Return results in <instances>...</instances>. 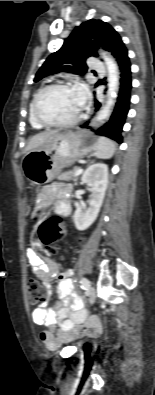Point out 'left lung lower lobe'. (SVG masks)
<instances>
[{
  "label": "left lung lower lobe",
  "mask_w": 155,
  "mask_h": 395,
  "mask_svg": "<svg viewBox=\"0 0 155 395\" xmlns=\"http://www.w3.org/2000/svg\"><path fill=\"white\" fill-rule=\"evenodd\" d=\"M118 66L121 78L117 102L110 120L99 127L96 133L122 143L121 132L129 111L132 89L131 63L128 54L118 62ZM94 106L97 110L100 107V103L95 100ZM88 123L86 122L82 127L89 128Z\"/></svg>",
  "instance_id": "0a47b994"
}]
</instances>
